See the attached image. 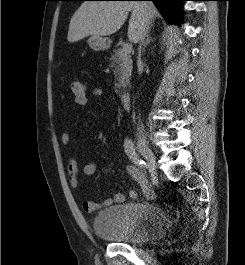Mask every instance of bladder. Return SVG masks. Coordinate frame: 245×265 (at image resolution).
Wrapping results in <instances>:
<instances>
[{
    "label": "bladder",
    "instance_id": "1",
    "mask_svg": "<svg viewBox=\"0 0 245 265\" xmlns=\"http://www.w3.org/2000/svg\"><path fill=\"white\" fill-rule=\"evenodd\" d=\"M92 227L100 238L124 244L151 242L169 230L164 211L147 202L106 207L96 213Z\"/></svg>",
    "mask_w": 245,
    "mask_h": 265
}]
</instances>
